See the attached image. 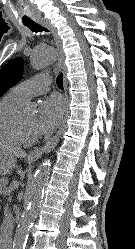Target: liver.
I'll use <instances>...</instances> for the list:
<instances>
[{
  "mask_svg": "<svg viewBox=\"0 0 135 249\" xmlns=\"http://www.w3.org/2000/svg\"><path fill=\"white\" fill-rule=\"evenodd\" d=\"M0 150L13 157L25 158L27 156L24 150L13 146L0 145Z\"/></svg>",
  "mask_w": 135,
  "mask_h": 249,
  "instance_id": "obj_1",
  "label": "liver"
}]
</instances>
